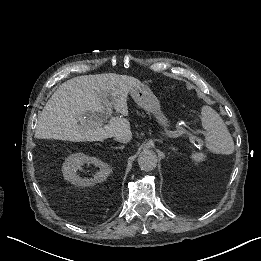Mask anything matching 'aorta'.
Masks as SVG:
<instances>
[{
    "mask_svg": "<svg viewBox=\"0 0 261 261\" xmlns=\"http://www.w3.org/2000/svg\"><path fill=\"white\" fill-rule=\"evenodd\" d=\"M138 164L141 170L152 171L157 166V156L152 150H144L138 157Z\"/></svg>",
    "mask_w": 261,
    "mask_h": 261,
    "instance_id": "aorta-1",
    "label": "aorta"
}]
</instances>
